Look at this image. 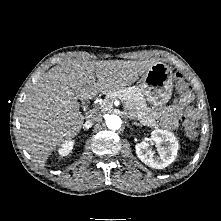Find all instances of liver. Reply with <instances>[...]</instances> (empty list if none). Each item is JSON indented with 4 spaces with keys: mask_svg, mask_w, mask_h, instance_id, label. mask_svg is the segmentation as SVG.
<instances>
[{
    "mask_svg": "<svg viewBox=\"0 0 221 221\" xmlns=\"http://www.w3.org/2000/svg\"><path fill=\"white\" fill-rule=\"evenodd\" d=\"M154 61L72 59L46 72L26 95L20 110L21 139L39 166L78 135L85 117L80 100L108 94L136 82Z\"/></svg>",
    "mask_w": 221,
    "mask_h": 221,
    "instance_id": "liver-1",
    "label": "liver"
}]
</instances>
